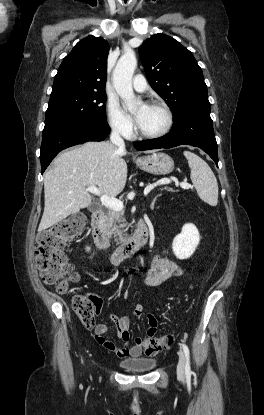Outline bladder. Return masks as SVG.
Segmentation results:
<instances>
[{"label": "bladder", "instance_id": "bladder-1", "mask_svg": "<svg viewBox=\"0 0 264 415\" xmlns=\"http://www.w3.org/2000/svg\"><path fill=\"white\" fill-rule=\"evenodd\" d=\"M119 365L128 372H146L152 370L156 366V360L147 358H127L121 360Z\"/></svg>", "mask_w": 264, "mask_h": 415}]
</instances>
